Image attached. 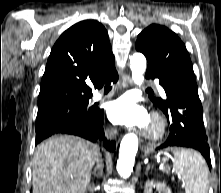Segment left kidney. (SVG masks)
Segmentation results:
<instances>
[{
    "label": "left kidney",
    "instance_id": "5707ae66",
    "mask_svg": "<svg viewBox=\"0 0 221 193\" xmlns=\"http://www.w3.org/2000/svg\"><path fill=\"white\" fill-rule=\"evenodd\" d=\"M156 187L159 193H171L170 188L166 186V184H162L160 182L149 181L145 184V193H151L152 188Z\"/></svg>",
    "mask_w": 221,
    "mask_h": 193
}]
</instances>
